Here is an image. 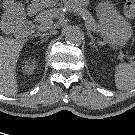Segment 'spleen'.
Here are the masks:
<instances>
[{
    "instance_id": "3e777b00",
    "label": "spleen",
    "mask_w": 135,
    "mask_h": 135,
    "mask_svg": "<svg viewBox=\"0 0 135 135\" xmlns=\"http://www.w3.org/2000/svg\"><path fill=\"white\" fill-rule=\"evenodd\" d=\"M115 84L119 90H130L135 87V61L121 63L116 67Z\"/></svg>"
}]
</instances>
